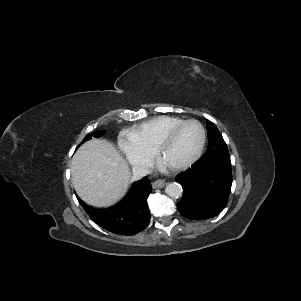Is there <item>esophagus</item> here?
Here are the masks:
<instances>
[{
	"instance_id": "obj_1",
	"label": "esophagus",
	"mask_w": 301,
	"mask_h": 301,
	"mask_svg": "<svg viewBox=\"0 0 301 301\" xmlns=\"http://www.w3.org/2000/svg\"><path fill=\"white\" fill-rule=\"evenodd\" d=\"M167 184V181L158 179L153 182V188H163Z\"/></svg>"
}]
</instances>
